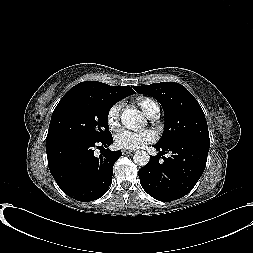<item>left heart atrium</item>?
<instances>
[{
	"label": "left heart atrium",
	"mask_w": 253,
	"mask_h": 253,
	"mask_svg": "<svg viewBox=\"0 0 253 253\" xmlns=\"http://www.w3.org/2000/svg\"><path fill=\"white\" fill-rule=\"evenodd\" d=\"M156 133L151 129L140 132L124 129L115 136V144L121 149L135 150L156 140Z\"/></svg>",
	"instance_id": "39dd6f15"
}]
</instances>
